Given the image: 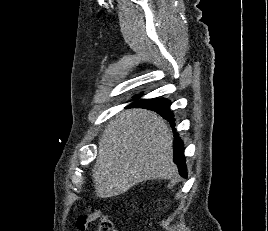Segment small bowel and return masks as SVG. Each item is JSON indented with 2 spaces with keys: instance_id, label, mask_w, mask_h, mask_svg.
I'll list each match as a JSON object with an SVG mask.
<instances>
[{
  "instance_id": "1",
  "label": "small bowel",
  "mask_w": 268,
  "mask_h": 231,
  "mask_svg": "<svg viewBox=\"0 0 268 231\" xmlns=\"http://www.w3.org/2000/svg\"><path fill=\"white\" fill-rule=\"evenodd\" d=\"M99 213L97 211L91 212L86 215H81L77 217L76 225L79 231H88L89 223L95 220L96 214Z\"/></svg>"
}]
</instances>
